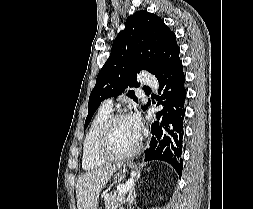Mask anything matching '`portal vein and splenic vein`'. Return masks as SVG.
Listing matches in <instances>:
<instances>
[{
  "label": "portal vein and splenic vein",
  "instance_id": "18ae733b",
  "mask_svg": "<svg viewBox=\"0 0 253 209\" xmlns=\"http://www.w3.org/2000/svg\"><path fill=\"white\" fill-rule=\"evenodd\" d=\"M133 185V179H129L125 185H123L120 190H119V194L125 193L127 192L129 189H131Z\"/></svg>",
  "mask_w": 253,
  "mask_h": 209
}]
</instances>
